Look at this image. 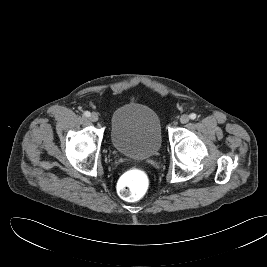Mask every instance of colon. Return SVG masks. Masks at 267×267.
<instances>
[{
    "label": "colon",
    "mask_w": 267,
    "mask_h": 267,
    "mask_svg": "<svg viewBox=\"0 0 267 267\" xmlns=\"http://www.w3.org/2000/svg\"><path fill=\"white\" fill-rule=\"evenodd\" d=\"M148 184L146 172L140 168H132L121 177L118 193L124 200L135 201L146 193Z\"/></svg>",
    "instance_id": "obj_1"
}]
</instances>
